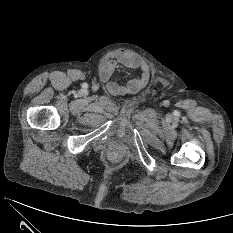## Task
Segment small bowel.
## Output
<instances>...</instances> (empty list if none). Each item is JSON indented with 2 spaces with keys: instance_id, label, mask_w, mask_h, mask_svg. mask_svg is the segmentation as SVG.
<instances>
[{
  "instance_id": "obj_1",
  "label": "small bowel",
  "mask_w": 233,
  "mask_h": 233,
  "mask_svg": "<svg viewBox=\"0 0 233 233\" xmlns=\"http://www.w3.org/2000/svg\"><path fill=\"white\" fill-rule=\"evenodd\" d=\"M118 64L132 69H138L140 75L128 81L126 84H119L111 80ZM99 77L105 83L107 91L114 96L135 94L143 89L150 78L148 65L136 54L127 50H117L110 54L99 69Z\"/></svg>"
}]
</instances>
